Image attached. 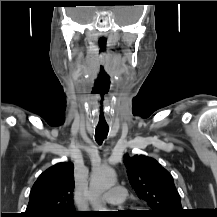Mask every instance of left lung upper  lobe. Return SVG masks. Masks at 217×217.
Wrapping results in <instances>:
<instances>
[{
  "label": "left lung upper lobe",
  "mask_w": 217,
  "mask_h": 217,
  "mask_svg": "<svg viewBox=\"0 0 217 217\" xmlns=\"http://www.w3.org/2000/svg\"><path fill=\"white\" fill-rule=\"evenodd\" d=\"M124 164L130 184L137 195L145 200L151 217H182L181 199L173 177L155 159L144 155H126Z\"/></svg>",
  "instance_id": "1"
}]
</instances>
